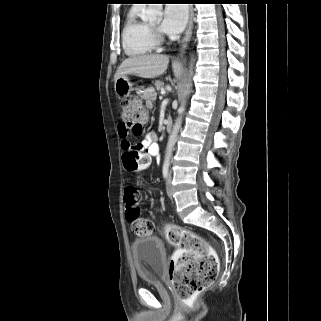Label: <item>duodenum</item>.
<instances>
[{
  "label": "duodenum",
  "mask_w": 321,
  "mask_h": 321,
  "mask_svg": "<svg viewBox=\"0 0 321 321\" xmlns=\"http://www.w3.org/2000/svg\"><path fill=\"white\" fill-rule=\"evenodd\" d=\"M173 127V122L170 118H167L165 121V128L167 132H170L172 130Z\"/></svg>",
  "instance_id": "410a0bca"
}]
</instances>
